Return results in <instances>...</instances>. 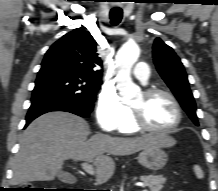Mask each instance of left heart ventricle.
I'll use <instances>...</instances> for the list:
<instances>
[{"mask_svg": "<svg viewBox=\"0 0 218 191\" xmlns=\"http://www.w3.org/2000/svg\"><path fill=\"white\" fill-rule=\"evenodd\" d=\"M131 107L140 110L147 123L153 128H168L177 118L174 105L163 95L147 99L144 94H141Z\"/></svg>", "mask_w": 218, "mask_h": 191, "instance_id": "1", "label": "left heart ventricle"}]
</instances>
